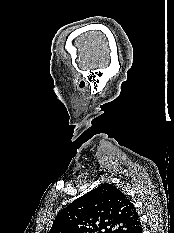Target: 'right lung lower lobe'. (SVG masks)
I'll list each match as a JSON object with an SVG mask.
<instances>
[{
    "label": "right lung lower lobe",
    "mask_w": 174,
    "mask_h": 233,
    "mask_svg": "<svg viewBox=\"0 0 174 233\" xmlns=\"http://www.w3.org/2000/svg\"><path fill=\"white\" fill-rule=\"evenodd\" d=\"M136 233H142V227H140V228L136 231Z\"/></svg>",
    "instance_id": "98d812e1"
}]
</instances>
